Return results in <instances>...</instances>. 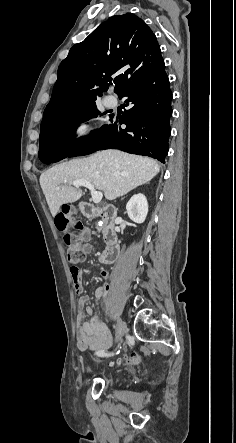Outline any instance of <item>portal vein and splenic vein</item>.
I'll use <instances>...</instances> for the list:
<instances>
[{
	"mask_svg": "<svg viewBox=\"0 0 236 443\" xmlns=\"http://www.w3.org/2000/svg\"><path fill=\"white\" fill-rule=\"evenodd\" d=\"M70 184H72L75 188H79L81 186L88 188L91 192V196H92V200L95 204H98L101 202L103 194L102 192H98L95 190L94 186L85 180H75L73 182H71ZM59 189V187H58Z\"/></svg>",
	"mask_w": 236,
	"mask_h": 443,
	"instance_id": "portal-vein-and-splenic-vein-1",
	"label": "portal vein and splenic vein"
}]
</instances>
